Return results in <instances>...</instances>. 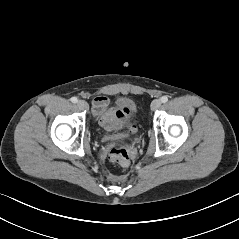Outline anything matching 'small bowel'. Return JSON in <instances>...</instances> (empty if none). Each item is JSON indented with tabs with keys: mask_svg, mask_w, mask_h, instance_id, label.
Instances as JSON below:
<instances>
[{
	"mask_svg": "<svg viewBox=\"0 0 239 239\" xmlns=\"http://www.w3.org/2000/svg\"><path fill=\"white\" fill-rule=\"evenodd\" d=\"M93 113L97 117L99 124L108 132L121 129L129 114L127 106L111 107L106 96H97L93 100Z\"/></svg>",
	"mask_w": 239,
	"mask_h": 239,
	"instance_id": "small-bowel-1",
	"label": "small bowel"
}]
</instances>
